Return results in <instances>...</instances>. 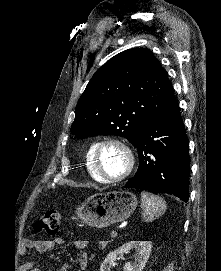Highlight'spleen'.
Listing matches in <instances>:
<instances>
[{"label": "spleen", "instance_id": "obj_1", "mask_svg": "<svg viewBox=\"0 0 221 271\" xmlns=\"http://www.w3.org/2000/svg\"><path fill=\"white\" fill-rule=\"evenodd\" d=\"M141 207L143 209V221H153L165 213L166 201L149 191H141Z\"/></svg>", "mask_w": 221, "mask_h": 271}]
</instances>
